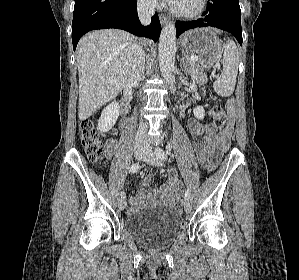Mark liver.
<instances>
[{
	"label": "liver",
	"mask_w": 299,
	"mask_h": 280,
	"mask_svg": "<svg viewBox=\"0 0 299 280\" xmlns=\"http://www.w3.org/2000/svg\"><path fill=\"white\" fill-rule=\"evenodd\" d=\"M136 44L133 35L118 29L92 31L81 38L77 48L81 121L122 91Z\"/></svg>",
	"instance_id": "obj_1"
}]
</instances>
